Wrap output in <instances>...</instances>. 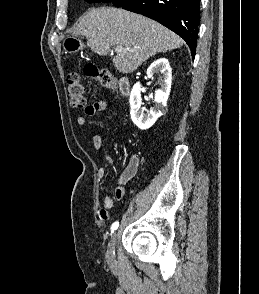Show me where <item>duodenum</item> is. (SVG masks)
<instances>
[{
    "instance_id": "duodenum-1",
    "label": "duodenum",
    "mask_w": 259,
    "mask_h": 294,
    "mask_svg": "<svg viewBox=\"0 0 259 294\" xmlns=\"http://www.w3.org/2000/svg\"><path fill=\"white\" fill-rule=\"evenodd\" d=\"M119 89L120 92L123 95H127L129 93L130 90V85H129V81L127 79H121L120 84H119Z\"/></svg>"
}]
</instances>
